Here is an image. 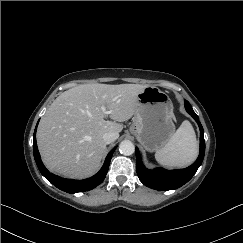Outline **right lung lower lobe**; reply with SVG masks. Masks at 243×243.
Returning a JSON list of instances; mask_svg holds the SVG:
<instances>
[{
	"label": "right lung lower lobe",
	"instance_id": "right-lung-lower-lobe-1",
	"mask_svg": "<svg viewBox=\"0 0 243 243\" xmlns=\"http://www.w3.org/2000/svg\"><path fill=\"white\" fill-rule=\"evenodd\" d=\"M37 125H38V123H37ZM36 129H37V126L35 128L34 135H33V154H34L36 164H37L41 174L49 182H51L53 185H55L60 190H63L68 193H77V192L88 191V190L94 189L96 186H98L99 184L102 183V181L106 177L113 152L115 151L116 148L112 149L111 152L107 155L104 165L102 166V168L96 175H94L88 179L79 180V181L72 180V179H65V178H61L57 175L50 173L43 165L41 158H40L38 148H37V144H36Z\"/></svg>",
	"mask_w": 243,
	"mask_h": 243
}]
</instances>
